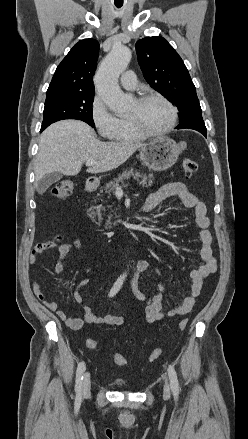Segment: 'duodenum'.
<instances>
[{
    "mask_svg": "<svg viewBox=\"0 0 248 439\" xmlns=\"http://www.w3.org/2000/svg\"><path fill=\"white\" fill-rule=\"evenodd\" d=\"M96 189H97V183L92 179L88 180L86 185V190L88 192H94Z\"/></svg>",
    "mask_w": 248,
    "mask_h": 439,
    "instance_id": "duodenum-1",
    "label": "duodenum"
}]
</instances>
